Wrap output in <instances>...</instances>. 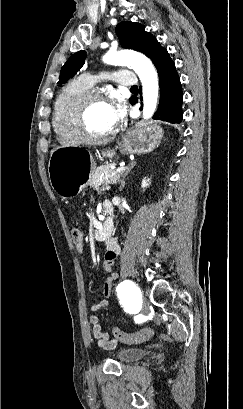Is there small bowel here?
Masks as SVG:
<instances>
[{
  "label": "small bowel",
  "instance_id": "small-bowel-1",
  "mask_svg": "<svg viewBox=\"0 0 243 409\" xmlns=\"http://www.w3.org/2000/svg\"><path fill=\"white\" fill-rule=\"evenodd\" d=\"M119 253L120 248L117 242L112 239L108 240L107 253L103 263V269L107 273V278L103 286V295L105 299L93 304L91 306L92 312H96L101 308L108 306V298L111 296L113 282L118 278V274L114 271V263ZM90 323L92 325V336L100 348L113 349L116 347L118 340L116 338H111L107 333L102 332L99 318L95 314L90 316Z\"/></svg>",
  "mask_w": 243,
  "mask_h": 409
}]
</instances>
